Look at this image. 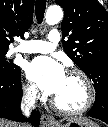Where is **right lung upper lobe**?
Listing matches in <instances>:
<instances>
[{
  "instance_id": "right-lung-upper-lobe-1",
  "label": "right lung upper lobe",
  "mask_w": 108,
  "mask_h": 127,
  "mask_svg": "<svg viewBox=\"0 0 108 127\" xmlns=\"http://www.w3.org/2000/svg\"><path fill=\"white\" fill-rule=\"evenodd\" d=\"M34 0H0V50H8L13 36L23 38L33 16Z\"/></svg>"
}]
</instances>
